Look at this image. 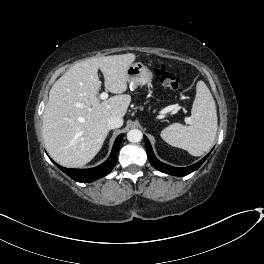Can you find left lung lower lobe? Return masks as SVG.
<instances>
[{"label":"left lung lower lobe","mask_w":264,"mask_h":264,"mask_svg":"<svg viewBox=\"0 0 264 264\" xmlns=\"http://www.w3.org/2000/svg\"><path fill=\"white\" fill-rule=\"evenodd\" d=\"M145 139V145H146V150H147V155H148V159L150 161V163L159 171L164 172L166 174L169 175H175V176H185L188 175L190 173H192L193 171L197 170L202 164L203 162L207 159V157L209 156L206 155L203 159H201L199 162L188 166V167H184V168H177V167H172L170 165H167L165 163L160 162L154 155L151 144L149 142V140L147 139L146 136H144Z\"/></svg>","instance_id":"left-lung-lower-lobe-1"}]
</instances>
